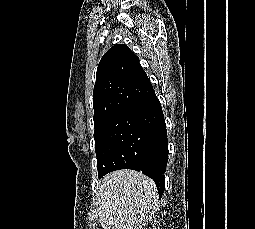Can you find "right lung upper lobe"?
Here are the masks:
<instances>
[{
	"label": "right lung upper lobe",
	"mask_w": 255,
	"mask_h": 229,
	"mask_svg": "<svg viewBox=\"0 0 255 229\" xmlns=\"http://www.w3.org/2000/svg\"><path fill=\"white\" fill-rule=\"evenodd\" d=\"M155 96L139 58L124 44L101 58L93 91L95 130L110 117Z\"/></svg>",
	"instance_id": "1"
}]
</instances>
